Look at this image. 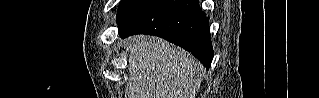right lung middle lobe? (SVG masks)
I'll return each mask as SVG.
<instances>
[{
	"label": "right lung middle lobe",
	"instance_id": "right-lung-middle-lobe-1",
	"mask_svg": "<svg viewBox=\"0 0 319 98\" xmlns=\"http://www.w3.org/2000/svg\"><path fill=\"white\" fill-rule=\"evenodd\" d=\"M149 1L150 0H122L117 15V23L119 24Z\"/></svg>",
	"mask_w": 319,
	"mask_h": 98
}]
</instances>
